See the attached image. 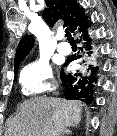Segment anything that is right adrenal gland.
I'll list each match as a JSON object with an SVG mask.
<instances>
[{
  "instance_id": "right-adrenal-gland-1",
  "label": "right adrenal gland",
  "mask_w": 117,
  "mask_h": 136,
  "mask_svg": "<svg viewBox=\"0 0 117 136\" xmlns=\"http://www.w3.org/2000/svg\"><path fill=\"white\" fill-rule=\"evenodd\" d=\"M71 132L69 130H65L61 136H68Z\"/></svg>"
}]
</instances>
